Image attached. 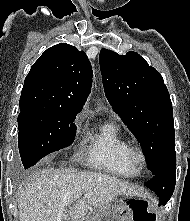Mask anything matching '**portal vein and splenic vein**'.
<instances>
[{"instance_id": "portal-vein-and-splenic-vein-1", "label": "portal vein and splenic vein", "mask_w": 190, "mask_h": 221, "mask_svg": "<svg viewBox=\"0 0 190 221\" xmlns=\"http://www.w3.org/2000/svg\"><path fill=\"white\" fill-rule=\"evenodd\" d=\"M92 196V193H86L85 195H84V198H90Z\"/></svg>"}]
</instances>
